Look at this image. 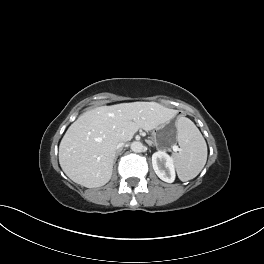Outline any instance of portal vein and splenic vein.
Wrapping results in <instances>:
<instances>
[{
  "mask_svg": "<svg viewBox=\"0 0 264 264\" xmlns=\"http://www.w3.org/2000/svg\"><path fill=\"white\" fill-rule=\"evenodd\" d=\"M173 150L174 151H178V147L177 146H173Z\"/></svg>",
  "mask_w": 264,
  "mask_h": 264,
  "instance_id": "18ae733b",
  "label": "portal vein and splenic vein"
}]
</instances>
